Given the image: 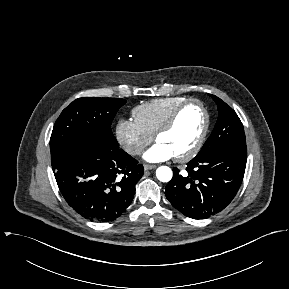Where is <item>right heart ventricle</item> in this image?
Instances as JSON below:
<instances>
[{"label":"right heart ventricle","instance_id":"obj_1","mask_svg":"<svg viewBox=\"0 0 289 289\" xmlns=\"http://www.w3.org/2000/svg\"><path fill=\"white\" fill-rule=\"evenodd\" d=\"M187 99L182 96L153 99L136 106L132 115L146 133L154 136L172 111Z\"/></svg>","mask_w":289,"mask_h":289}]
</instances>
